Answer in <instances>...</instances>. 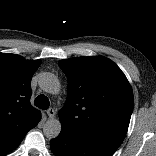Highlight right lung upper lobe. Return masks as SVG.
I'll return each mask as SVG.
<instances>
[{
    "instance_id": "right-lung-upper-lobe-1",
    "label": "right lung upper lobe",
    "mask_w": 156,
    "mask_h": 156,
    "mask_svg": "<svg viewBox=\"0 0 156 156\" xmlns=\"http://www.w3.org/2000/svg\"><path fill=\"white\" fill-rule=\"evenodd\" d=\"M40 60L0 53V148L16 144L39 120L31 106V79Z\"/></svg>"
}]
</instances>
